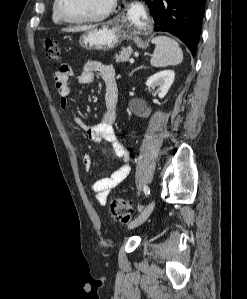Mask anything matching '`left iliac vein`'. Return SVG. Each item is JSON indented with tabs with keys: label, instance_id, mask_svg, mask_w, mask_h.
I'll list each match as a JSON object with an SVG mask.
<instances>
[{
	"label": "left iliac vein",
	"instance_id": "left-iliac-vein-1",
	"mask_svg": "<svg viewBox=\"0 0 247 299\" xmlns=\"http://www.w3.org/2000/svg\"><path fill=\"white\" fill-rule=\"evenodd\" d=\"M155 206V202L151 201L149 204H147L143 210L141 211V213L129 224V228H135L141 224H143L147 218L150 216V214L152 213L153 209Z\"/></svg>",
	"mask_w": 247,
	"mask_h": 299
}]
</instances>
